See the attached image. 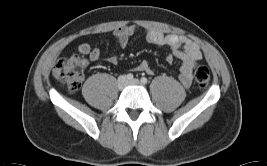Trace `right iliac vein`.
Returning <instances> with one entry per match:
<instances>
[{"label":"right iliac vein","instance_id":"obj_1","mask_svg":"<svg viewBox=\"0 0 267 166\" xmlns=\"http://www.w3.org/2000/svg\"><path fill=\"white\" fill-rule=\"evenodd\" d=\"M125 84H126V77L125 76H120L118 78V87L120 89H122L125 86Z\"/></svg>","mask_w":267,"mask_h":166}]
</instances>
